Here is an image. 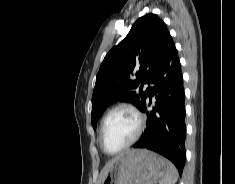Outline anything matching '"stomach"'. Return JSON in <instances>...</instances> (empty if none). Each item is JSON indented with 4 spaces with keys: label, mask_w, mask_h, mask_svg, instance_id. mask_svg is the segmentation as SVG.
Wrapping results in <instances>:
<instances>
[{
    "label": "stomach",
    "mask_w": 235,
    "mask_h": 184,
    "mask_svg": "<svg viewBox=\"0 0 235 184\" xmlns=\"http://www.w3.org/2000/svg\"><path fill=\"white\" fill-rule=\"evenodd\" d=\"M167 160L149 150H131L111 164L102 184H156L165 176Z\"/></svg>",
    "instance_id": "0dacf381"
}]
</instances>
